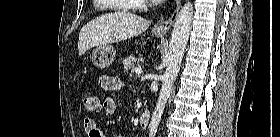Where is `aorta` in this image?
Instances as JSON below:
<instances>
[{"label":"aorta","instance_id":"1","mask_svg":"<svg viewBox=\"0 0 280 137\" xmlns=\"http://www.w3.org/2000/svg\"><path fill=\"white\" fill-rule=\"evenodd\" d=\"M192 16L193 5L188 1L180 10L171 34L169 50L167 54L168 65L165 73L162 76L161 90L156 103L155 111L149 124L150 137L156 136L165 105L171 94L174 81L176 80L180 70L182 58L192 27Z\"/></svg>","mask_w":280,"mask_h":137}]
</instances>
